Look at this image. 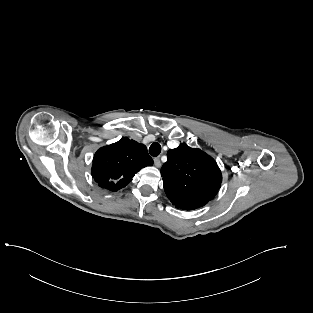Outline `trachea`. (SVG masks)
Instances as JSON below:
<instances>
[{"mask_svg":"<svg viewBox=\"0 0 313 313\" xmlns=\"http://www.w3.org/2000/svg\"><path fill=\"white\" fill-rule=\"evenodd\" d=\"M161 152V145L159 143H153L149 148V153L151 156H158Z\"/></svg>","mask_w":313,"mask_h":313,"instance_id":"trachea-1","label":"trachea"}]
</instances>
